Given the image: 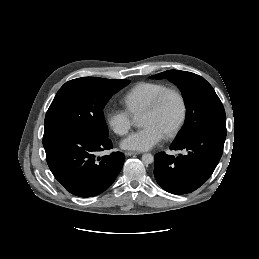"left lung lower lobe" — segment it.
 Instances as JSON below:
<instances>
[{
  "label": "left lung lower lobe",
  "mask_w": 259,
  "mask_h": 259,
  "mask_svg": "<svg viewBox=\"0 0 259 259\" xmlns=\"http://www.w3.org/2000/svg\"><path fill=\"white\" fill-rule=\"evenodd\" d=\"M226 130L206 128L196 131L170 149L187 150L178 157L164 152L155 155L154 176L172 194L191 193L212 175L223 153Z\"/></svg>",
  "instance_id": "1"
}]
</instances>
